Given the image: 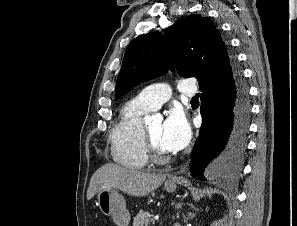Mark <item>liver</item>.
Listing matches in <instances>:
<instances>
[{
	"mask_svg": "<svg viewBox=\"0 0 297 226\" xmlns=\"http://www.w3.org/2000/svg\"><path fill=\"white\" fill-rule=\"evenodd\" d=\"M165 179L166 175L146 173L107 163L92 175L87 190V200L92 199L100 191L109 189H119L136 197L146 196L156 190Z\"/></svg>",
	"mask_w": 297,
	"mask_h": 226,
	"instance_id": "1",
	"label": "liver"
}]
</instances>
